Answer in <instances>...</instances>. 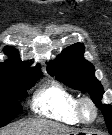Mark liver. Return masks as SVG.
<instances>
[{
    "mask_svg": "<svg viewBox=\"0 0 112 135\" xmlns=\"http://www.w3.org/2000/svg\"><path fill=\"white\" fill-rule=\"evenodd\" d=\"M69 132L70 129L46 120H28L2 135H68Z\"/></svg>",
    "mask_w": 112,
    "mask_h": 135,
    "instance_id": "liver-1",
    "label": "liver"
}]
</instances>
